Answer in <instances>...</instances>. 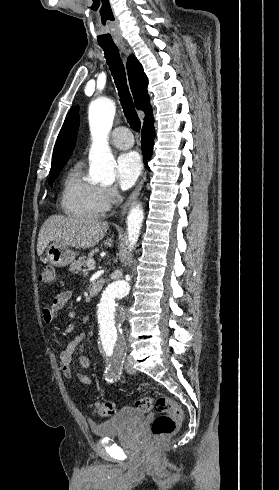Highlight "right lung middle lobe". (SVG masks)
I'll return each instance as SVG.
<instances>
[{
	"instance_id": "1",
	"label": "right lung middle lobe",
	"mask_w": 279,
	"mask_h": 490,
	"mask_svg": "<svg viewBox=\"0 0 279 490\" xmlns=\"http://www.w3.org/2000/svg\"><path fill=\"white\" fill-rule=\"evenodd\" d=\"M63 166L58 167L56 169H53L50 171V177H49V184L52 186V181L56 179L57 175L59 174L60 170L62 169Z\"/></svg>"
}]
</instances>
